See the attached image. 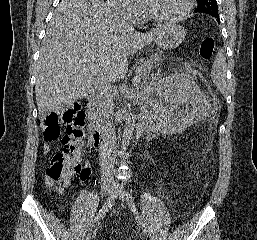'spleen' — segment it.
<instances>
[{
	"instance_id": "obj_1",
	"label": "spleen",
	"mask_w": 257,
	"mask_h": 240,
	"mask_svg": "<svg viewBox=\"0 0 257 240\" xmlns=\"http://www.w3.org/2000/svg\"><path fill=\"white\" fill-rule=\"evenodd\" d=\"M226 70V58L223 50H220L212 66L211 78L214 85L221 93H225L227 88Z\"/></svg>"
}]
</instances>
